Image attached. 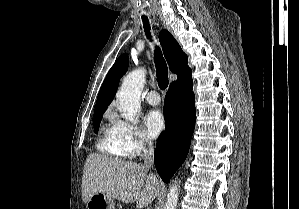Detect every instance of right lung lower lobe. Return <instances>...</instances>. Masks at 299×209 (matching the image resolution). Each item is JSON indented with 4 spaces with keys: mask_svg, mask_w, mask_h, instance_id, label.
Instances as JSON below:
<instances>
[{
    "mask_svg": "<svg viewBox=\"0 0 299 209\" xmlns=\"http://www.w3.org/2000/svg\"><path fill=\"white\" fill-rule=\"evenodd\" d=\"M192 78L170 85L163 109L166 130L161 133L154 152V162L165 183L185 161L195 127Z\"/></svg>",
    "mask_w": 299,
    "mask_h": 209,
    "instance_id": "right-lung-lower-lobe-1",
    "label": "right lung lower lobe"
}]
</instances>
